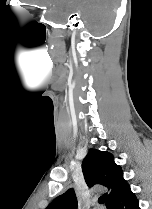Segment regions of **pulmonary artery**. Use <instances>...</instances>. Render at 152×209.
Returning a JSON list of instances; mask_svg holds the SVG:
<instances>
[{"instance_id":"obj_1","label":"pulmonary artery","mask_w":152,"mask_h":209,"mask_svg":"<svg viewBox=\"0 0 152 209\" xmlns=\"http://www.w3.org/2000/svg\"><path fill=\"white\" fill-rule=\"evenodd\" d=\"M93 209H99L98 207H94Z\"/></svg>"}]
</instances>
